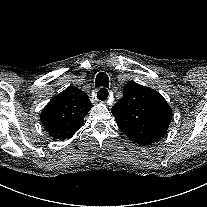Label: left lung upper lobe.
Here are the masks:
<instances>
[{
    "mask_svg": "<svg viewBox=\"0 0 207 207\" xmlns=\"http://www.w3.org/2000/svg\"><path fill=\"white\" fill-rule=\"evenodd\" d=\"M117 125L128 138L148 145L162 138L170 125L172 109L157 91L131 81L112 107Z\"/></svg>",
    "mask_w": 207,
    "mask_h": 207,
    "instance_id": "left-lung-upper-lobe-1",
    "label": "left lung upper lobe"
}]
</instances>
